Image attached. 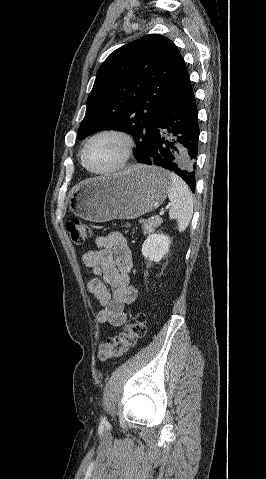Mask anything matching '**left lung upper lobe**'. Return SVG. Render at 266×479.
Segmentation results:
<instances>
[{
  "mask_svg": "<svg viewBox=\"0 0 266 479\" xmlns=\"http://www.w3.org/2000/svg\"><path fill=\"white\" fill-rule=\"evenodd\" d=\"M187 75L177 47L162 35L148 34L118 48L97 72L78 138L105 129L126 131L142 162L162 109Z\"/></svg>",
  "mask_w": 266,
  "mask_h": 479,
  "instance_id": "5c2ea615",
  "label": "left lung upper lobe"
}]
</instances>
